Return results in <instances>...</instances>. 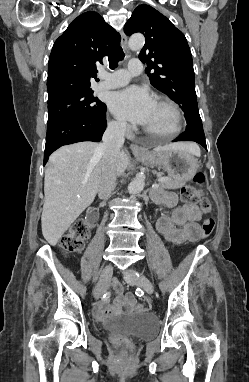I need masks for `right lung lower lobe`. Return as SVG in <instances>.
I'll use <instances>...</instances> for the list:
<instances>
[{"instance_id": "98d812e1", "label": "right lung lower lobe", "mask_w": 249, "mask_h": 382, "mask_svg": "<svg viewBox=\"0 0 249 382\" xmlns=\"http://www.w3.org/2000/svg\"><path fill=\"white\" fill-rule=\"evenodd\" d=\"M105 129L106 107L94 118H72L48 126L44 165L51 153L59 147L81 141L98 142L101 140Z\"/></svg>"}]
</instances>
